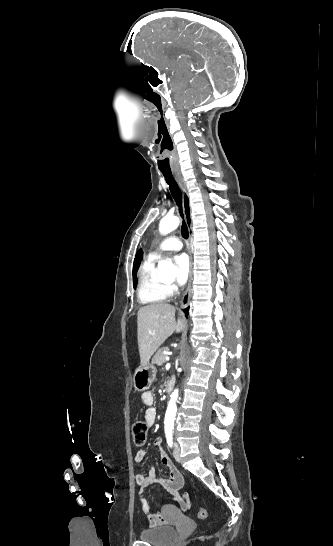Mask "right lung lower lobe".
<instances>
[{
  "instance_id": "98d812e1",
  "label": "right lung lower lobe",
  "mask_w": 333,
  "mask_h": 546,
  "mask_svg": "<svg viewBox=\"0 0 333 546\" xmlns=\"http://www.w3.org/2000/svg\"><path fill=\"white\" fill-rule=\"evenodd\" d=\"M187 311H188V309H186V310H185V312H186V315H188Z\"/></svg>"
}]
</instances>
